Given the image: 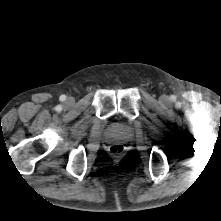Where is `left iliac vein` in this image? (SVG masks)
<instances>
[{"label":"left iliac vein","mask_w":221,"mask_h":221,"mask_svg":"<svg viewBox=\"0 0 221 221\" xmlns=\"http://www.w3.org/2000/svg\"><path fill=\"white\" fill-rule=\"evenodd\" d=\"M160 101H161V103H166L168 101V97L163 95V96H161Z\"/></svg>","instance_id":"1"}]
</instances>
